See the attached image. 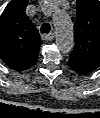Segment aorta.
<instances>
[{
	"mask_svg": "<svg viewBox=\"0 0 100 118\" xmlns=\"http://www.w3.org/2000/svg\"><path fill=\"white\" fill-rule=\"evenodd\" d=\"M52 19L56 28V44L63 53H69L74 47L73 24L68 14L54 7Z\"/></svg>",
	"mask_w": 100,
	"mask_h": 118,
	"instance_id": "762f6f07",
	"label": "aorta"
}]
</instances>
